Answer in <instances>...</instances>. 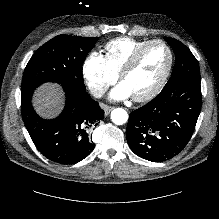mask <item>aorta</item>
<instances>
[{
  "label": "aorta",
  "mask_w": 219,
  "mask_h": 219,
  "mask_svg": "<svg viewBox=\"0 0 219 219\" xmlns=\"http://www.w3.org/2000/svg\"><path fill=\"white\" fill-rule=\"evenodd\" d=\"M111 120L116 125H123L128 120V113L122 108H116L111 112Z\"/></svg>",
  "instance_id": "aorta-1"
}]
</instances>
